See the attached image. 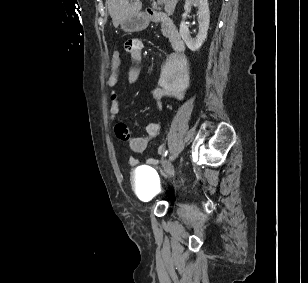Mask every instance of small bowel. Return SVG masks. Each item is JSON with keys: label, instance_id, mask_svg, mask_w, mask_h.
Masks as SVG:
<instances>
[{"label": "small bowel", "instance_id": "c3829d8e", "mask_svg": "<svg viewBox=\"0 0 308 283\" xmlns=\"http://www.w3.org/2000/svg\"><path fill=\"white\" fill-rule=\"evenodd\" d=\"M125 50L130 55V58L139 63L142 59L143 43L140 39H130L125 43ZM119 70L113 69L107 79L109 87H115L118 83ZM140 69L132 67L128 71V82L134 84L139 80ZM189 88V74L186 61L178 56H170L164 65L160 78L159 87L153 91V97L157 101V106L162 107V100L164 98L183 99L185 92ZM110 116L112 120H116L120 113V101L117 92L112 91L110 94ZM162 130L161 123H151L146 127V134L142 136H134L130 132L128 126L123 122H117L115 125V134L118 139L129 144L132 151L142 153L146 150L149 138L158 135ZM164 144L158 147V153L164 151ZM135 159H129L130 165H135ZM149 165L157 164L156 158H149L147 160Z\"/></svg>", "mask_w": 308, "mask_h": 283}]
</instances>
